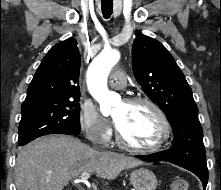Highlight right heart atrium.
Masks as SVG:
<instances>
[{"mask_svg":"<svg viewBox=\"0 0 221 190\" xmlns=\"http://www.w3.org/2000/svg\"><path fill=\"white\" fill-rule=\"evenodd\" d=\"M79 124L81 130L91 142L103 146L110 142L112 129L93 105L88 103L81 105Z\"/></svg>","mask_w":221,"mask_h":190,"instance_id":"obj_1","label":"right heart atrium"}]
</instances>
